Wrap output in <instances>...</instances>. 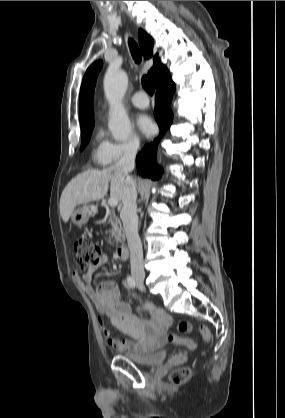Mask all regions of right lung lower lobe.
<instances>
[{"label":"right lung lower lobe","mask_w":285,"mask_h":418,"mask_svg":"<svg viewBox=\"0 0 285 418\" xmlns=\"http://www.w3.org/2000/svg\"><path fill=\"white\" fill-rule=\"evenodd\" d=\"M154 116L160 128L159 136L151 143L146 144L136 157L137 172L143 177L158 179L161 169L156 165V151L159 139L163 136L172 122L171 100L175 91V84L171 76L156 87Z\"/></svg>","instance_id":"98d812e1"}]
</instances>
